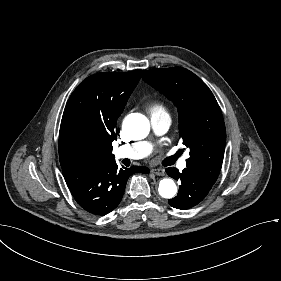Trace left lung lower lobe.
I'll use <instances>...</instances> for the list:
<instances>
[{"label": "left lung lower lobe", "instance_id": "obj_1", "mask_svg": "<svg viewBox=\"0 0 281 281\" xmlns=\"http://www.w3.org/2000/svg\"><path fill=\"white\" fill-rule=\"evenodd\" d=\"M166 172L170 177L181 181L177 196L168 200V203L177 209H189L200 203L215 183L189 167L182 173L172 167L167 168Z\"/></svg>", "mask_w": 281, "mask_h": 281}]
</instances>
